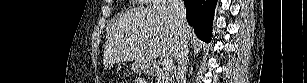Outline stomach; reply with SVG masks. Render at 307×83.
I'll use <instances>...</instances> for the list:
<instances>
[{"label":"stomach","instance_id":"obj_1","mask_svg":"<svg viewBox=\"0 0 307 83\" xmlns=\"http://www.w3.org/2000/svg\"><path fill=\"white\" fill-rule=\"evenodd\" d=\"M136 70L137 71H144L145 69H144V67L142 65L138 64Z\"/></svg>","mask_w":307,"mask_h":83}]
</instances>
